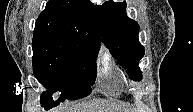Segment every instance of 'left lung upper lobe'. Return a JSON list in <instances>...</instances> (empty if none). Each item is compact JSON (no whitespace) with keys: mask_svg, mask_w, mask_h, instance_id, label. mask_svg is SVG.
I'll use <instances>...</instances> for the list:
<instances>
[{"mask_svg":"<svg viewBox=\"0 0 193 112\" xmlns=\"http://www.w3.org/2000/svg\"><path fill=\"white\" fill-rule=\"evenodd\" d=\"M96 12L103 43L127 69L131 79L141 80L142 72L138 64L144 56V47L138 40V23L127 17L126 2L106 1L96 7Z\"/></svg>","mask_w":193,"mask_h":112,"instance_id":"left-lung-upper-lobe-1","label":"left lung upper lobe"}]
</instances>
